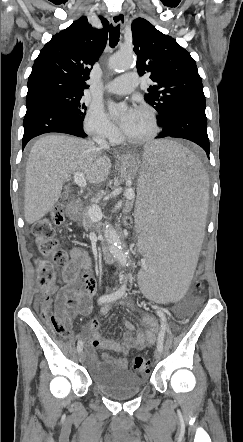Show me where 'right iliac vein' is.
<instances>
[{"label":"right iliac vein","mask_w":243,"mask_h":442,"mask_svg":"<svg viewBox=\"0 0 243 442\" xmlns=\"http://www.w3.org/2000/svg\"><path fill=\"white\" fill-rule=\"evenodd\" d=\"M79 359H80L81 362H84V361H85V359H86V354H85V352H83V351L80 352V354H79Z\"/></svg>","instance_id":"1"}]
</instances>
